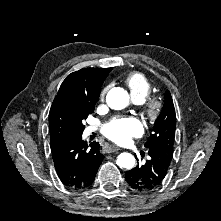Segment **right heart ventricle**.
Here are the masks:
<instances>
[{
    "instance_id": "1",
    "label": "right heart ventricle",
    "mask_w": 221,
    "mask_h": 221,
    "mask_svg": "<svg viewBox=\"0 0 221 221\" xmlns=\"http://www.w3.org/2000/svg\"><path fill=\"white\" fill-rule=\"evenodd\" d=\"M124 83L130 91L132 99H139L142 103L152 92V83L150 79L142 72L134 71L124 78Z\"/></svg>"
}]
</instances>
